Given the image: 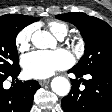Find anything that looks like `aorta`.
<instances>
[{"label":"aorta","instance_id":"762f6f07","mask_svg":"<svg viewBox=\"0 0 112 112\" xmlns=\"http://www.w3.org/2000/svg\"><path fill=\"white\" fill-rule=\"evenodd\" d=\"M31 41L36 48L47 49L55 44L53 36L46 31H36L31 37ZM51 88L59 96H66L70 91V82L63 76H57L51 81Z\"/></svg>","mask_w":112,"mask_h":112}]
</instances>
